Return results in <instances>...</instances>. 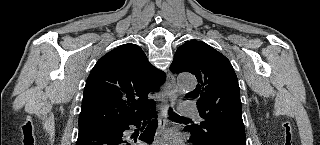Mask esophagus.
Returning a JSON list of instances; mask_svg holds the SVG:
<instances>
[{"label": "esophagus", "mask_w": 320, "mask_h": 145, "mask_svg": "<svg viewBox=\"0 0 320 145\" xmlns=\"http://www.w3.org/2000/svg\"><path fill=\"white\" fill-rule=\"evenodd\" d=\"M175 93V78L172 74L167 75L165 87L162 91L161 97L159 98L158 104V128L156 138H158L166 129L168 125L167 111L169 108V100Z\"/></svg>", "instance_id": "esophagus-1"}]
</instances>
